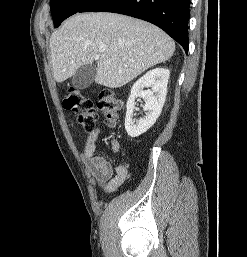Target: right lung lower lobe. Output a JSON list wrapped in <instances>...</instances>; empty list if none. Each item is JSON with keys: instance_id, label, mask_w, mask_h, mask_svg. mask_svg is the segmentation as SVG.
<instances>
[{"instance_id": "1", "label": "right lung lower lobe", "mask_w": 247, "mask_h": 257, "mask_svg": "<svg viewBox=\"0 0 247 257\" xmlns=\"http://www.w3.org/2000/svg\"><path fill=\"white\" fill-rule=\"evenodd\" d=\"M190 0H91L78 12H114L148 21L188 52Z\"/></svg>"}]
</instances>
